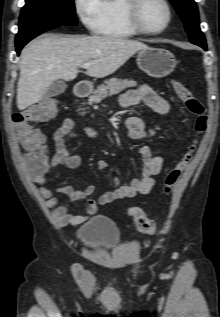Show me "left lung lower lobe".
<instances>
[{"mask_svg":"<svg viewBox=\"0 0 220 317\" xmlns=\"http://www.w3.org/2000/svg\"><path fill=\"white\" fill-rule=\"evenodd\" d=\"M198 46H201L205 50L207 49L206 44H201V45H198Z\"/></svg>","mask_w":220,"mask_h":317,"instance_id":"1","label":"left lung lower lobe"}]
</instances>
